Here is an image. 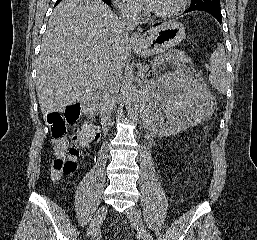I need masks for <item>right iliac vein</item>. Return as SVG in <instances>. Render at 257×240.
<instances>
[{
    "label": "right iliac vein",
    "instance_id": "right-iliac-vein-1",
    "mask_svg": "<svg viewBox=\"0 0 257 240\" xmlns=\"http://www.w3.org/2000/svg\"><path fill=\"white\" fill-rule=\"evenodd\" d=\"M107 206L106 205H102L97 212L95 213L93 219L90 222L88 231H87V235H92L93 233H95L97 231V229L100 227V225L102 224L103 220L106 217L107 214Z\"/></svg>",
    "mask_w": 257,
    "mask_h": 240
}]
</instances>
